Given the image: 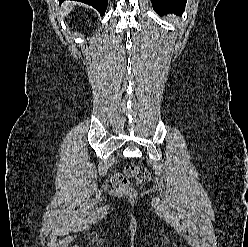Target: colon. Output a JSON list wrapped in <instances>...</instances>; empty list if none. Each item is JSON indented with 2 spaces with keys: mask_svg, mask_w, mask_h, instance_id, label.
<instances>
[{
  "mask_svg": "<svg viewBox=\"0 0 248 247\" xmlns=\"http://www.w3.org/2000/svg\"><path fill=\"white\" fill-rule=\"evenodd\" d=\"M150 174L143 165H127L122 173L114 175L112 184L116 190L128 195L135 196V185H143L149 181Z\"/></svg>",
  "mask_w": 248,
  "mask_h": 247,
  "instance_id": "5ec220e1",
  "label": "colon"
}]
</instances>
